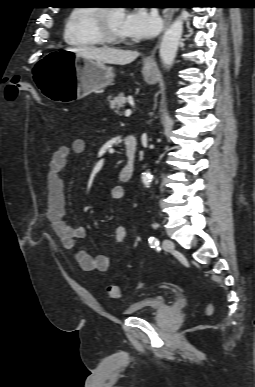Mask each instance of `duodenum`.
Returning a JSON list of instances; mask_svg holds the SVG:
<instances>
[{"label":"duodenum","mask_w":255,"mask_h":387,"mask_svg":"<svg viewBox=\"0 0 255 387\" xmlns=\"http://www.w3.org/2000/svg\"><path fill=\"white\" fill-rule=\"evenodd\" d=\"M126 149V163L121 168L119 176L121 180L128 181L131 179L135 169V158L137 154V141L132 135H127L124 139Z\"/></svg>","instance_id":"duodenum-1"}]
</instances>
